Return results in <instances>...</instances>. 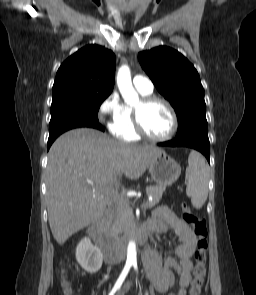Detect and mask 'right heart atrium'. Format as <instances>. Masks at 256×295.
<instances>
[{
	"instance_id": "d8ad5b80",
	"label": "right heart atrium",
	"mask_w": 256,
	"mask_h": 295,
	"mask_svg": "<svg viewBox=\"0 0 256 295\" xmlns=\"http://www.w3.org/2000/svg\"><path fill=\"white\" fill-rule=\"evenodd\" d=\"M99 117L105 121L110 130L114 132L124 122L123 105L116 92H112L100 105Z\"/></svg>"
}]
</instances>
